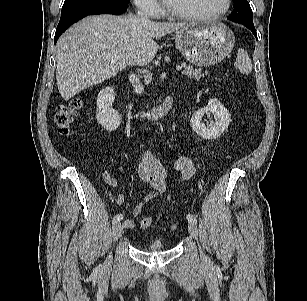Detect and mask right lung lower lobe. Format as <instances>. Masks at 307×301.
I'll return each mask as SVG.
<instances>
[{
    "instance_id": "obj_1",
    "label": "right lung lower lobe",
    "mask_w": 307,
    "mask_h": 301,
    "mask_svg": "<svg viewBox=\"0 0 307 301\" xmlns=\"http://www.w3.org/2000/svg\"><path fill=\"white\" fill-rule=\"evenodd\" d=\"M127 10L126 3H117L113 1H101L94 2L86 5H82L73 9L62 11L60 22L57 26L54 43L60 35L68 29L70 25L78 21L79 19L93 14H115L120 15Z\"/></svg>"
}]
</instances>
